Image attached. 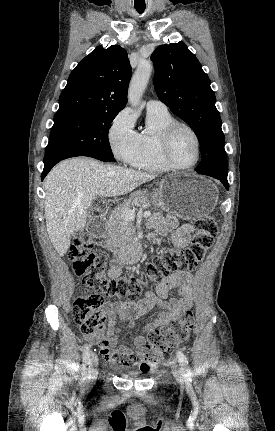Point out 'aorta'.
<instances>
[{
    "label": "aorta",
    "instance_id": "obj_1",
    "mask_svg": "<svg viewBox=\"0 0 275 431\" xmlns=\"http://www.w3.org/2000/svg\"><path fill=\"white\" fill-rule=\"evenodd\" d=\"M152 70L153 67L150 61H141L139 63L128 89V101L133 107L140 103Z\"/></svg>",
    "mask_w": 275,
    "mask_h": 431
}]
</instances>
